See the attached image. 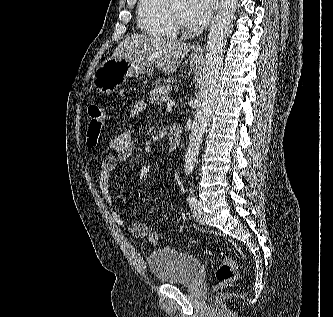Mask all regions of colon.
<instances>
[{"label":"colon","mask_w":333,"mask_h":317,"mask_svg":"<svg viewBox=\"0 0 333 317\" xmlns=\"http://www.w3.org/2000/svg\"><path fill=\"white\" fill-rule=\"evenodd\" d=\"M104 126V110L99 105L93 104L87 110L86 143L90 148L96 147L100 141ZM149 242L156 244L158 234L152 231L149 234ZM215 277L219 287L230 286L236 279V266L232 258L221 253V262L216 268Z\"/></svg>","instance_id":"obj_1"}]
</instances>
